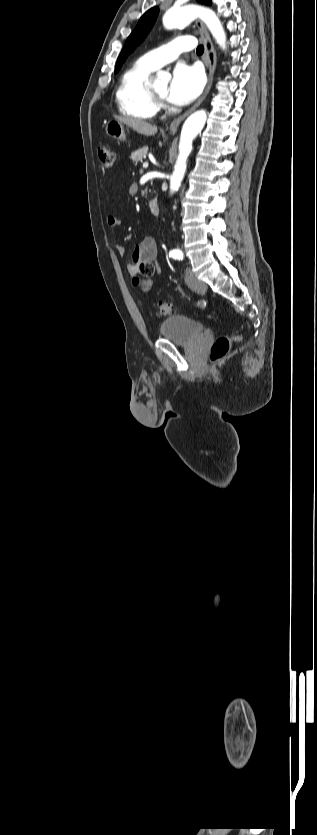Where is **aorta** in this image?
Listing matches in <instances>:
<instances>
[{"mask_svg": "<svg viewBox=\"0 0 317 835\" xmlns=\"http://www.w3.org/2000/svg\"><path fill=\"white\" fill-rule=\"evenodd\" d=\"M195 18H200L206 24L219 46L223 50L226 49L224 28L216 13L210 9L196 5L171 7L164 12L162 21L165 27L173 28L180 25H188ZM170 77V74L165 72H159L157 74V79L166 82L169 81ZM206 121V111L199 110L190 115L183 124L179 142V155L170 178L171 192L178 190L181 185L187 168V159L192 151L193 140L202 131Z\"/></svg>", "mask_w": 317, "mask_h": 835, "instance_id": "1", "label": "aorta"}]
</instances>
